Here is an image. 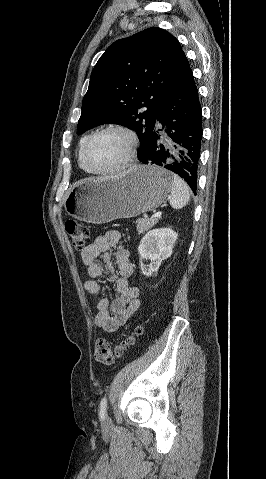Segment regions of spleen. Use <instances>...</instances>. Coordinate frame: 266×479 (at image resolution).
Wrapping results in <instances>:
<instances>
[{
    "label": "spleen",
    "mask_w": 266,
    "mask_h": 479,
    "mask_svg": "<svg viewBox=\"0 0 266 479\" xmlns=\"http://www.w3.org/2000/svg\"><path fill=\"white\" fill-rule=\"evenodd\" d=\"M170 205L173 209H181L190 201V190L188 185L179 176H172L170 188Z\"/></svg>",
    "instance_id": "1"
}]
</instances>
